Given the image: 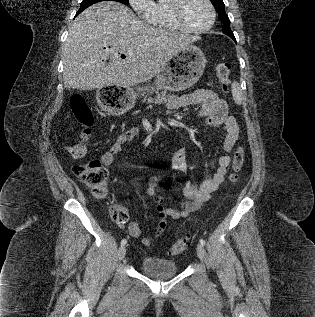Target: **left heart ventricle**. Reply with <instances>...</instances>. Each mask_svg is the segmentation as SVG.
Here are the masks:
<instances>
[{"label": "left heart ventricle", "instance_id": "b2bd125f", "mask_svg": "<svg viewBox=\"0 0 315 317\" xmlns=\"http://www.w3.org/2000/svg\"><path fill=\"white\" fill-rule=\"evenodd\" d=\"M182 17L191 27H204L209 23L210 11L204 0H185Z\"/></svg>", "mask_w": 315, "mask_h": 317}]
</instances>
